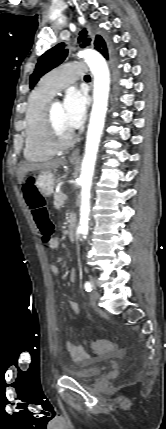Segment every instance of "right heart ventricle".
I'll use <instances>...</instances> for the list:
<instances>
[{
    "label": "right heart ventricle",
    "mask_w": 166,
    "mask_h": 429,
    "mask_svg": "<svg viewBox=\"0 0 166 429\" xmlns=\"http://www.w3.org/2000/svg\"><path fill=\"white\" fill-rule=\"evenodd\" d=\"M53 94L37 87L29 96L25 113L24 157L31 162L50 159L55 151L51 149L44 135V113Z\"/></svg>",
    "instance_id": "obj_1"
}]
</instances>
